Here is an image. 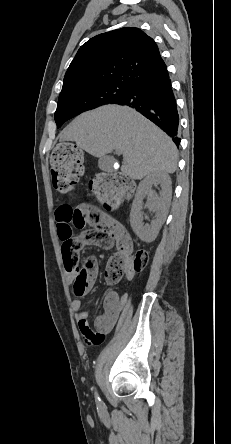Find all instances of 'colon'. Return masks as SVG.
Returning <instances> with one entry per match:
<instances>
[{
  "mask_svg": "<svg viewBox=\"0 0 231 444\" xmlns=\"http://www.w3.org/2000/svg\"><path fill=\"white\" fill-rule=\"evenodd\" d=\"M81 162L82 152L71 144H61L53 151L50 158L51 178L59 193L70 194L74 191L80 177ZM90 188L104 207L112 210L133 193L135 184L123 174H102L91 181ZM98 218L97 210L89 213L74 210L69 215L72 225L78 229H83ZM148 259V253L144 250L137 251L132 258L126 251H117L107 264L105 278L109 284H116L121 280L127 268L136 272L141 271L147 265ZM77 262L78 254L69 249L65 250L64 266L67 269L76 270L73 290L77 296H82L92 286L96 275V259L89 257L81 269L77 268Z\"/></svg>",
  "mask_w": 231,
  "mask_h": 444,
  "instance_id": "5ec220e1",
  "label": "colon"
}]
</instances>
